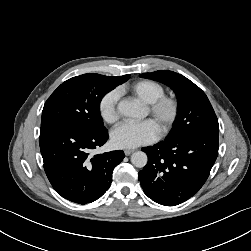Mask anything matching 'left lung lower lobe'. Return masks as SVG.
<instances>
[{
	"instance_id": "obj_1",
	"label": "left lung lower lobe",
	"mask_w": 251,
	"mask_h": 251,
	"mask_svg": "<svg viewBox=\"0 0 251 251\" xmlns=\"http://www.w3.org/2000/svg\"><path fill=\"white\" fill-rule=\"evenodd\" d=\"M218 145V133H196L143 148L148 156V163L139 172L144 193L165 206L185 202L207 180Z\"/></svg>"
}]
</instances>
